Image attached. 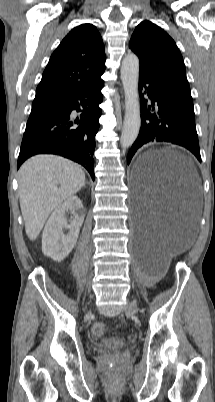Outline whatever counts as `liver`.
Masks as SVG:
<instances>
[{
    "label": "liver",
    "instance_id": "obj_1",
    "mask_svg": "<svg viewBox=\"0 0 215 402\" xmlns=\"http://www.w3.org/2000/svg\"><path fill=\"white\" fill-rule=\"evenodd\" d=\"M85 184L79 165L55 155H36L19 169V201L28 238L34 241L51 212Z\"/></svg>",
    "mask_w": 215,
    "mask_h": 402
}]
</instances>
